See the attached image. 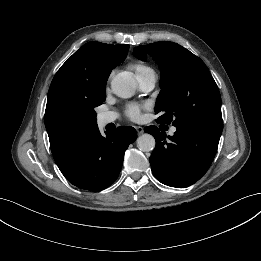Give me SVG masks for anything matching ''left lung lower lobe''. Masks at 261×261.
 <instances>
[{
	"label": "left lung lower lobe",
	"instance_id": "obj_1",
	"mask_svg": "<svg viewBox=\"0 0 261 261\" xmlns=\"http://www.w3.org/2000/svg\"><path fill=\"white\" fill-rule=\"evenodd\" d=\"M166 137L156 126L144 129L156 140L149 158L154 176L171 187H187L198 181L216 154L222 128H179Z\"/></svg>",
	"mask_w": 261,
	"mask_h": 261
}]
</instances>
